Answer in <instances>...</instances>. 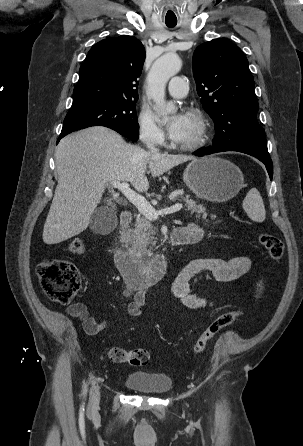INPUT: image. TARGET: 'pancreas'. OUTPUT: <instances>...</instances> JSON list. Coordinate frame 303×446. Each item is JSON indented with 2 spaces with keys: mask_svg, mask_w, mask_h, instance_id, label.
<instances>
[{
  "mask_svg": "<svg viewBox=\"0 0 303 446\" xmlns=\"http://www.w3.org/2000/svg\"><path fill=\"white\" fill-rule=\"evenodd\" d=\"M181 200L186 203L187 210L191 214L196 213V218H200L201 215L203 219L207 218L206 208L190 199L189 195L181 197ZM211 217L213 219L215 215ZM156 234L157 230L152 223L147 218L138 215L134 227L125 232V247L138 257H150L153 254L152 247L156 245Z\"/></svg>",
  "mask_w": 303,
  "mask_h": 446,
  "instance_id": "obj_1",
  "label": "pancreas"
}]
</instances>
